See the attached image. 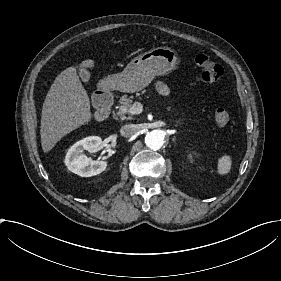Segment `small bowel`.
Here are the masks:
<instances>
[{
  "label": "small bowel",
  "mask_w": 281,
  "mask_h": 281,
  "mask_svg": "<svg viewBox=\"0 0 281 281\" xmlns=\"http://www.w3.org/2000/svg\"><path fill=\"white\" fill-rule=\"evenodd\" d=\"M156 88L157 90L162 94V95H168L169 94V89L166 84L163 82H157L156 83Z\"/></svg>",
  "instance_id": "c3829d8e"
}]
</instances>
